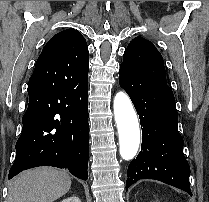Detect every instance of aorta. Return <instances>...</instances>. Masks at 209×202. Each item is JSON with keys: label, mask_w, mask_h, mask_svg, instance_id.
I'll return each instance as SVG.
<instances>
[{"label": "aorta", "mask_w": 209, "mask_h": 202, "mask_svg": "<svg viewBox=\"0 0 209 202\" xmlns=\"http://www.w3.org/2000/svg\"><path fill=\"white\" fill-rule=\"evenodd\" d=\"M114 116L119 134V152L124 160L136 155L140 144V129L136 112L128 95L122 91L114 98Z\"/></svg>", "instance_id": "1"}]
</instances>
